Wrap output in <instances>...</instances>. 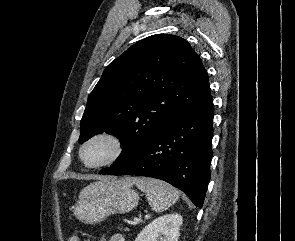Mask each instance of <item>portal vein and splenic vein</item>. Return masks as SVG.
<instances>
[{
  "instance_id": "1",
  "label": "portal vein and splenic vein",
  "mask_w": 295,
  "mask_h": 241,
  "mask_svg": "<svg viewBox=\"0 0 295 241\" xmlns=\"http://www.w3.org/2000/svg\"><path fill=\"white\" fill-rule=\"evenodd\" d=\"M139 222V219H134V223L137 224Z\"/></svg>"
}]
</instances>
